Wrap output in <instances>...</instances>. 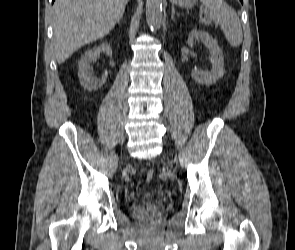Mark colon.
I'll list each match as a JSON object with an SVG mask.
<instances>
[{"mask_svg": "<svg viewBox=\"0 0 295 250\" xmlns=\"http://www.w3.org/2000/svg\"><path fill=\"white\" fill-rule=\"evenodd\" d=\"M154 176H155V172L153 169H150L147 171V174H146L147 181H152Z\"/></svg>", "mask_w": 295, "mask_h": 250, "instance_id": "5ec220e1", "label": "colon"}]
</instances>
